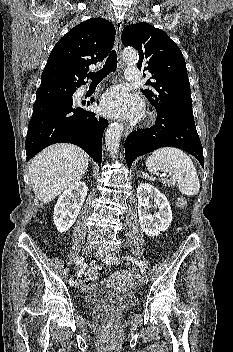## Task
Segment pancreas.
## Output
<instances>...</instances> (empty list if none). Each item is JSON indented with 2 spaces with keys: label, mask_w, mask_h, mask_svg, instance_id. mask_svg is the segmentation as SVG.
I'll return each instance as SVG.
<instances>
[{
  "label": "pancreas",
  "mask_w": 233,
  "mask_h": 352,
  "mask_svg": "<svg viewBox=\"0 0 233 352\" xmlns=\"http://www.w3.org/2000/svg\"><path fill=\"white\" fill-rule=\"evenodd\" d=\"M162 183H163L165 186H168V185H169L168 181H163Z\"/></svg>",
  "instance_id": "cf45deb5"
}]
</instances>
